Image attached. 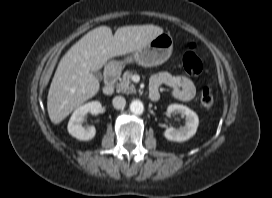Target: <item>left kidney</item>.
<instances>
[{
    "instance_id": "1",
    "label": "left kidney",
    "mask_w": 272,
    "mask_h": 198,
    "mask_svg": "<svg viewBox=\"0 0 272 198\" xmlns=\"http://www.w3.org/2000/svg\"><path fill=\"white\" fill-rule=\"evenodd\" d=\"M168 115L181 114L186 117L185 126L179 129L170 127L164 131V137L169 141L183 142L193 137L199 125L198 115L188 107L171 104L167 108Z\"/></svg>"
}]
</instances>
